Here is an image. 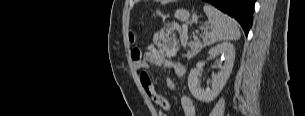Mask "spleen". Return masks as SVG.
<instances>
[{"mask_svg":"<svg viewBox=\"0 0 305 116\" xmlns=\"http://www.w3.org/2000/svg\"><path fill=\"white\" fill-rule=\"evenodd\" d=\"M203 10L210 24V31L208 32L206 29L204 32V42L206 45L220 41L238 40L240 38L241 33L235 19L209 4H205Z\"/></svg>","mask_w":305,"mask_h":116,"instance_id":"spleen-1","label":"spleen"}]
</instances>
